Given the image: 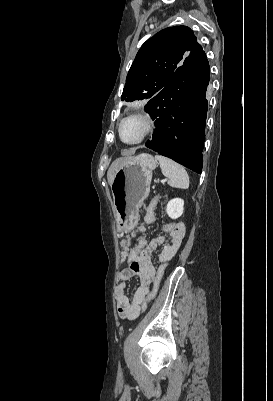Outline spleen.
Returning <instances> with one entry per match:
<instances>
[{"mask_svg":"<svg viewBox=\"0 0 273 401\" xmlns=\"http://www.w3.org/2000/svg\"><path fill=\"white\" fill-rule=\"evenodd\" d=\"M156 160H159L161 170L164 176L169 178L168 184L170 186H177V188H188L189 186V176L181 164H177L171 158H166V156H161V154H155Z\"/></svg>","mask_w":273,"mask_h":401,"instance_id":"3e777b00","label":"spleen"}]
</instances>
